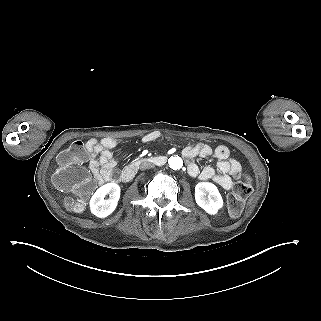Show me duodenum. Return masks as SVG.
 <instances>
[{"instance_id":"1","label":"duodenum","mask_w":321,"mask_h":321,"mask_svg":"<svg viewBox=\"0 0 321 321\" xmlns=\"http://www.w3.org/2000/svg\"><path fill=\"white\" fill-rule=\"evenodd\" d=\"M165 162H166V157L162 155L150 156V157H144V158L138 159L123 169V171L121 172V179L124 182H128L132 180L135 174L137 173L139 166L142 163H151V164L161 166L165 164Z\"/></svg>"}]
</instances>
